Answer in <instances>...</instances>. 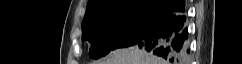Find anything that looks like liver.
<instances>
[{
	"label": "liver",
	"mask_w": 242,
	"mask_h": 64,
	"mask_svg": "<svg viewBox=\"0 0 242 64\" xmlns=\"http://www.w3.org/2000/svg\"><path fill=\"white\" fill-rule=\"evenodd\" d=\"M93 64H164V60L138 47H130L112 51L106 59L94 61Z\"/></svg>",
	"instance_id": "obj_1"
}]
</instances>
